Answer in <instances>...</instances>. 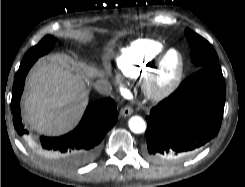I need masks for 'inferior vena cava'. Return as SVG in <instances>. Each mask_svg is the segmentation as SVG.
<instances>
[{
    "instance_id": "obj_1",
    "label": "inferior vena cava",
    "mask_w": 245,
    "mask_h": 187,
    "mask_svg": "<svg viewBox=\"0 0 245 187\" xmlns=\"http://www.w3.org/2000/svg\"><path fill=\"white\" fill-rule=\"evenodd\" d=\"M94 88L102 95L111 94V86L107 80L101 79L94 83Z\"/></svg>"
}]
</instances>
